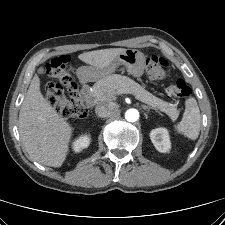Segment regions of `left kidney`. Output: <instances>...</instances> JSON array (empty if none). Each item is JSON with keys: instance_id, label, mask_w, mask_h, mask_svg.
Instances as JSON below:
<instances>
[{"instance_id": "5707ae66", "label": "left kidney", "mask_w": 225, "mask_h": 225, "mask_svg": "<svg viewBox=\"0 0 225 225\" xmlns=\"http://www.w3.org/2000/svg\"><path fill=\"white\" fill-rule=\"evenodd\" d=\"M150 138L155 148L161 152L166 153L171 148L169 134L165 128H156L151 131Z\"/></svg>"}]
</instances>
